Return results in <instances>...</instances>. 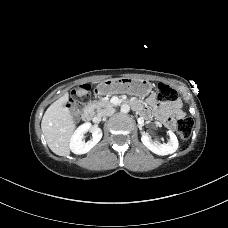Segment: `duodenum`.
Instances as JSON below:
<instances>
[{"mask_svg":"<svg viewBox=\"0 0 228 228\" xmlns=\"http://www.w3.org/2000/svg\"><path fill=\"white\" fill-rule=\"evenodd\" d=\"M131 105H133V102H130ZM93 118V112L91 109L85 110L82 115H81V119L84 122H90Z\"/></svg>","mask_w":228,"mask_h":228,"instance_id":"obj_1","label":"duodenum"}]
</instances>
